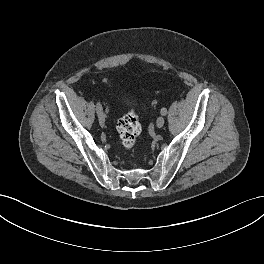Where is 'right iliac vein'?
<instances>
[{
	"label": "right iliac vein",
	"mask_w": 264,
	"mask_h": 264,
	"mask_svg": "<svg viewBox=\"0 0 264 264\" xmlns=\"http://www.w3.org/2000/svg\"><path fill=\"white\" fill-rule=\"evenodd\" d=\"M99 116H98V120H99V124L101 125V126H104L105 125V116H104V114L103 113H100V114H98Z\"/></svg>",
	"instance_id": "right-iliac-vein-1"
}]
</instances>
